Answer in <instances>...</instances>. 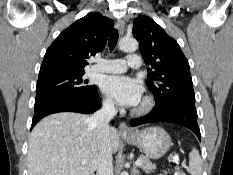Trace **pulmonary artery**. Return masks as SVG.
I'll list each match as a JSON object with an SVG mask.
<instances>
[{
  "label": "pulmonary artery",
  "instance_id": "pulmonary-artery-1",
  "mask_svg": "<svg viewBox=\"0 0 233 175\" xmlns=\"http://www.w3.org/2000/svg\"><path fill=\"white\" fill-rule=\"evenodd\" d=\"M141 66V59L138 54H131L126 60L122 59H101L92 67L94 72L122 73L128 67L137 69Z\"/></svg>",
  "mask_w": 233,
  "mask_h": 175
}]
</instances>
